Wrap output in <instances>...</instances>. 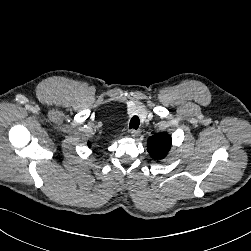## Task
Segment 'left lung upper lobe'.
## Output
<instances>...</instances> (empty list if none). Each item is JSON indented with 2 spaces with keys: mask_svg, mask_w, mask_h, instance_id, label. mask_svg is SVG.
Masks as SVG:
<instances>
[{
  "mask_svg": "<svg viewBox=\"0 0 251 251\" xmlns=\"http://www.w3.org/2000/svg\"><path fill=\"white\" fill-rule=\"evenodd\" d=\"M171 144V136L165 132H161L148 139L147 151L154 160H160L168 154Z\"/></svg>",
  "mask_w": 251,
  "mask_h": 251,
  "instance_id": "left-lung-upper-lobe-1",
  "label": "left lung upper lobe"
}]
</instances>
